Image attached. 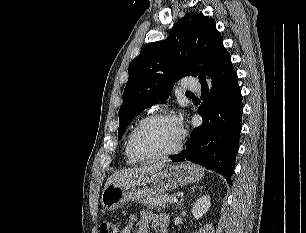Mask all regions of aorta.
<instances>
[{
    "mask_svg": "<svg viewBox=\"0 0 306 233\" xmlns=\"http://www.w3.org/2000/svg\"><path fill=\"white\" fill-rule=\"evenodd\" d=\"M206 80H207L209 89H211V79L209 77H207Z\"/></svg>",
    "mask_w": 306,
    "mask_h": 233,
    "instance_id": "1",
    "label": "aorta"
}]
</instances>
